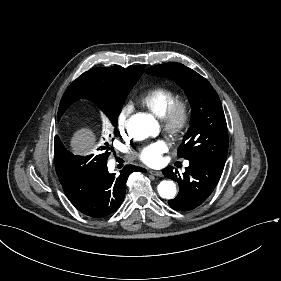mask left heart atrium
<instances>
[{
    "instance_id": "obj_1",
    "label": "left heart atrium",
    "mask_w": 281,
    "mask_h": 281,
    "mask_svg": "<svg viewBox=\"0 0 281 281\" xmlns=\"http://www.w3.org/2000/svg\"><path fill=\"white\" fill-rule=\"evenodd\" d=\"M166 149L167 144L163 140H158L143 146L135 154L141 162L150 166H157L162 162V154Z\"/></svg>"
}]
</instances>
